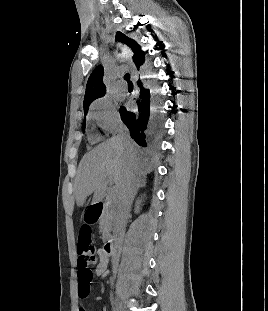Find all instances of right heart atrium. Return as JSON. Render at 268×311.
Returning <instances> with one entry per match:
<instances>
[{"label":"right heart atrium","mask_w":268,"mask_h":311,"mask_svg":"<svg viewBox=\"0 0 268 311\" xmlns=\"http://www.w3.org/2000/svg\"><path fill=\"white\" fill-rule=\"evenodd\" d=\"M89 116L107 133H113L119 128V115L112 101L108 98L97 100L92 105Z\"/></svg>","instance_id":"right-heart-atrium-1"}]
</instances>
